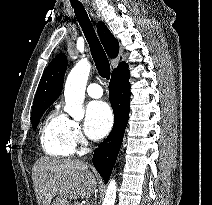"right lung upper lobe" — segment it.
Segmentation results:
<instances>
[{
    "mask_svg": "<svg viewBox=\"0 0 212 205\" xmlns=\"http://www.w3.org/2000/svg\"><path fill=\"white\" fill-rule=\"evenodd\" d=\"M97 31L107 55L111 58L117 57L119 54L118 40L111 34L103 22L97 24ZM125 64V62H121L117 68ZM66 67L67 58L63 53L58 54L51 61L40 80L33 107L51 105L59 97L63 87Z\"/></svg>",
    "mask_w": 212,
    "mask_h": 205,
    "instance_id": "cb5924a9",
    "label": "right lung upper lobe"
}]
</instances>
